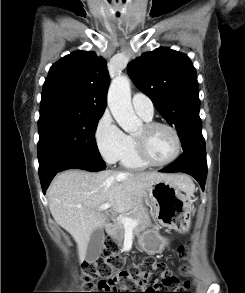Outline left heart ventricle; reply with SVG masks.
<instances>
[{
    "mask_svg": "<svg viewBox=\"0 0 245 293\" xmlns=\"http://www.w3.org/2000/svg\"><path fill=\"white\" fill-rule=\"evenodd\" d=\"M135 137L143 141L148 156L155 162L169 159L175 151L173 134L166 128L146 130L142 126Z\"/></svg>",
    "mask_w": 245,
    "mask_h": 293,
    "instance_id": "b2bd125f",
    "label": "left heart ventricle"
}]
</instances>
